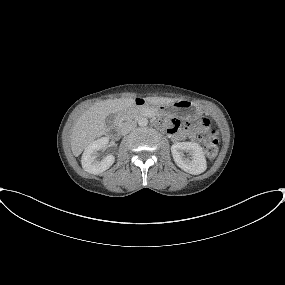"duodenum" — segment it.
I'll return each instance as SVG.
<instances>
[{
  "label": "duodenum",
  "instance_id": "obj_1",
  "mask_svg": "<svg viewBox=\"0 0 285 285\" xmlns=\"http://www.w3.org/2000/svg\"><path fill=\"white\" fill-rule=\"evenodd\" d=\"M132 105H134L135 107L138 108H144L146 105V100L143 98H136L134 100L131 101ZM121 129V124L120 122H116L114 127H113V132H119Z\"/></svg>",
  "mask_w": 285,
  "mask_h": 285
}]
</instances>
